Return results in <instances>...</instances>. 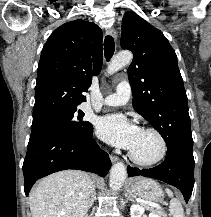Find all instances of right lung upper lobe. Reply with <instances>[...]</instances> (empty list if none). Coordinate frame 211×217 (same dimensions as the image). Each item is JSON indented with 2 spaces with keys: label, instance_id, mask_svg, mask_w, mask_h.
Here are the masks:
<instances>
[{
  "label": "right lung upper lobe",
  "instance_id": "right-lung-upper-lobe-1",
  "mask_svg": "<svg viewBox=\"0 0 211 217\" xmlns=\"http://www.w3.org/2000/svg\"><path fill=\"white\" fill-rule=\"evenodd\" d=\"M102 38L101 29L85 20L67 22L49 36L37 70L33 119L86 101L82 92L101 70Z\"/></svg>",
  "mask_w": 211,
  "mask_h": 217
}]
</instances>
